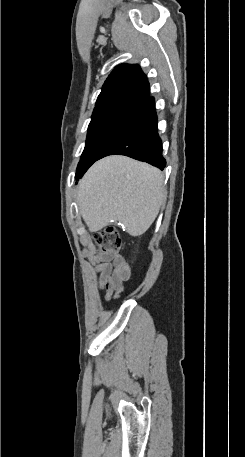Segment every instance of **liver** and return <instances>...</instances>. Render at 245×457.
Here are the masks:
<instances>
[{
    "instance_id": "liver-1",
    "label": "liver",
    "mask_w": 245,
    "mask_h": 457,
    "mask_svg": "<svg viewBox=\"0 0 245 457\" xmlns=\"http://www.w3.org/2000/svg\"><path fill=\"white\" fill-rule=\"evenodd\" d=\"M163 174L156 166L129 156H106L81 178L79 212L90 233L120 220L131 237L148 231L166 198Z\"/></svg>"
}]
</instances>
